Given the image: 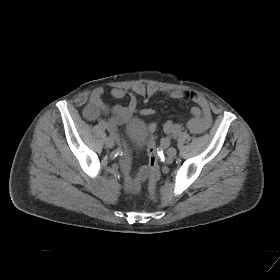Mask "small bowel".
Returning <instances> with one entry per match:
<instances>
[{
	"label": "small bowel",
	"instance_id": "obj_1",
	"mask_svg": "<svg viewBox=\"0 0 280 280\" xmlns=\"http://www.w3.org/2000/svg\"><path fill=\"white\" fill-rule=\"evenodd\" d=\"M103 89L96 88L90 95L88 103L83 109V115L87 120H95L102 115H110L108 122V130L113 134H117L118 125L127 121L131 114L137 110L138 104L134 94L128 93L124 89L114 88L111 90L112 97L116 99L129 96V102L126 106L115 105L109 106L103 100ZM170 97L174 99H187L197 104L191 108V118L186 122V127L193 134H201L208 130L212 124V113L210 104L206 98L200 94L188 91V90H177L170 93ZM141 114L144 116H151L154 114V110L151 108H145L141 110ZM173 122L167 121L163 130L165 137L161 140V146L165 147L169 144L171 138V127ZM156 124L150 125V129L154 130ZM121 169L126 178V184L129 189L137 187L140 180L147 176V169L142 168L137 172L132 169L131 160L127 157L121 161Z\"/></svg>",
	"mask_w": 280,
	"mask_h": 280
}]
</instances>
